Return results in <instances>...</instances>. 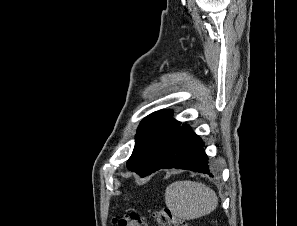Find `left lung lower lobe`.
<instances>
[{
  "instance_id": "left-lung-lower-lobe-1",
  "label": "left lung lower lobe",
  "mask_w": 297,
  "mask_h": 226,
  "mask_svg": "<svg viewBox=\"0 0 297 226\" xmlns=\"http://www.w3.org/2000/svg\"><path fill=\"white\" fill-rule=\"evenodd\" d=\"M170 168L191 170L213 177L202 139L186 124L181 126L169 148L147 175Z\"/></svg>"
}]
</instances>
